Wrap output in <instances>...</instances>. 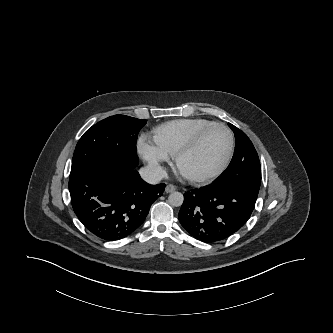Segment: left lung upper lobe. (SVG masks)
Here are the masks:
<instances>
[{
    "instance_id": "1",
    "label": "left lung upper lobe",
    "mask_w": 333,
    "mask_h": 333,
    "mask_svg": "<svg viewBox=\"0 0 333 333\" xmlns=\"http://www.w3.org/2000/svg\"><path fill=\"white\" fill-rule=\"evenodd\" d=\"M229 126L235 134V154L228 168L213 183L242 188L258 196L261 183L258 154L243 131L230 123Z\"/></svg>"
}]
</instances>
